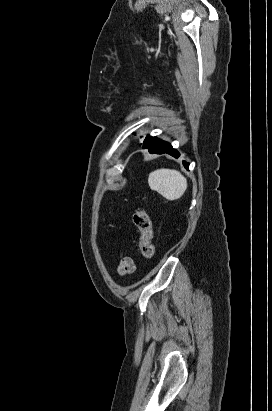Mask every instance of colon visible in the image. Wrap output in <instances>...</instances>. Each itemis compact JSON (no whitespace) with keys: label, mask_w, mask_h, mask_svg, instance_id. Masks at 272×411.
I'll list each match as a JSON object with an SVG mask.
<instances>
[{"label":"colon","mask_w":272,"mask_h":411,"mask_svg":"<svg viewBox=\"0 0 272 411\" xmlns=\"http://www.w3.org/2000/svg\"><path fill=\"white\" fill-rule=\"evenodd\" d=\"M133 222L140 233L139 248L145 259H152L155 251L152 244L153 230L151 220L142 207L136 208L133 213Z\"/></svg>","instance_id":"1"}]
</instances>
